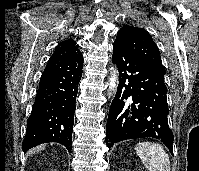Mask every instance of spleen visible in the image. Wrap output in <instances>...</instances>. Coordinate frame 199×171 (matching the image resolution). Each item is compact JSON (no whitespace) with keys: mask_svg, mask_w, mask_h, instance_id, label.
Instances as JSON below:
<instances>
[{"mask_svg":"<svg viewBox=\"0 0 199 171\" xmlns=\"http://www.w3.org/2000/svg\"><path fill=\"white\" fill-rule=\"evenodd\" d=\"M135 150L149 171H170L169 156L160 144L141 142Z\"/></svg>","mask_w":199,"mask_h":171,"instance_id":"spleen-1","label":"spleen"}]
</instances>
